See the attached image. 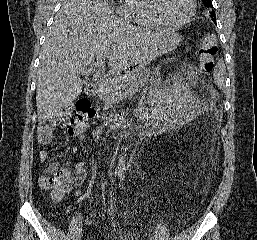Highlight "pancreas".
<instances>
[{
  "mask_svg": "<svg viewBox=\"0 0 257 240\" xmlns=\"http://www.w3.org/2000/svg\"><path fill=\"white\" fill-rule=\"evenodd\" d=\"M150 75V70L147 68L139 69L129 74L127 81L123 80L125 88H132L134 92L138 87L143 86L147 81ZM118 92L114 89V86H101L98 90V96L103 101L104 107H110L113 103H116L118 100Z\"/></svg>",
  "mask_w": 257,
  "mask_h": 240,
  "instance_id": "pancreas-1",
  "label": "pancreas"
}]
</instances>
